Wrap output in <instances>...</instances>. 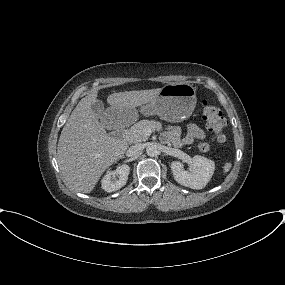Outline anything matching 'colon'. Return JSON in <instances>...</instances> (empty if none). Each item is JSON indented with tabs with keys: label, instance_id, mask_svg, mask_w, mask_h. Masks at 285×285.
I'll return each mask as SVG.
<instances>
[{
	"label": "colon",
	"instance_id": "1",
	"mask_svg": "<svg viewBox=\"0 0 285 285\" xmlns=\"http://www.w3.org/2000/svg\"><path fill=\"white\" fill-rule=\"evenodd\" d=\"M202 115L207 129L215 136L216 141L223 145L226 143V135L224 129L227 126V121L223 117L221 110L209 101L202 102ZM199 149L202 152H207L210 145L206 141L199 143Z\"/></svg>",
	"mask_w": 285,
	"mask_h": 285
}]
</instances>
